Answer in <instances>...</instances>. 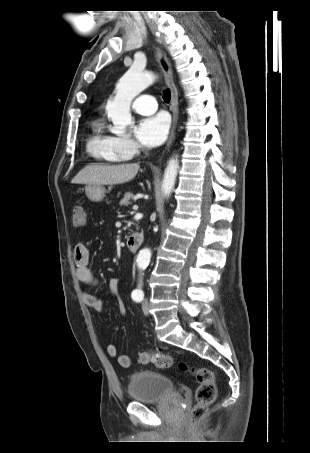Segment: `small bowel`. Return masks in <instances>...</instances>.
<instances>
[{"label":"small bowel","mask_w":310,"mask_h":453,"mask_svg":"<svg viewBox=\"0 0 310 453\" xmlns=\"http://www.w3.org/2000/svg\"><path fill=\"white\" fill-rule=\"evenodd\" d=\"M89 260L90 253L87 246L83 243H78L74 248L76 278L84 285L96 286L98 284V279L89 267ZM108 289L110 295L117 301L119 313L124 315L126 306L120 295V279L118 277L110 278L108 281ZM83 300L90 308L97 312H102L104 309L103 301L94 294L84 292ZM106 352L110 357H117L118 364L121 367L127 368L131 365L130 356L127 354L118 355L117 347L114 344H108L106 346Z\"/></svg>","instance_id":"1"}]
</instances>
